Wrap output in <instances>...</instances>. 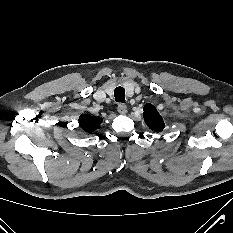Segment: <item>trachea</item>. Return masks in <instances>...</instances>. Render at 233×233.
Here are the masks:
<instances>
[{
  "instance_id": "trachea-1",
  "label": "trachea",
  "mask_w": 233,
  "mask_h": 233,
  "mask_svg": "<svg viewBox=\"0 0 233 233\" xmlns=\"http://www.w3.org/2000/svg\"><path fill=\"white\" fill-rule=\"evenodd\" d=\"M115 100L119 103H125V89L123 87H116L114 90Z\"/></svg>"
}]
</instances>
